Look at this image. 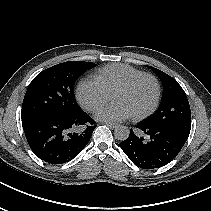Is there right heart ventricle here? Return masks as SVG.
Masks as SVG:
<instances>
[{
    "label": "right heart ventricle",
    "mask_w": 211,
    "mask_h": 211,
    "mask_svg": "<svg viewBox=\"0 0 211 211\" xmlns=\"http://www.w3.org/2000/svg\"><path fill=\"white\" fill-rule=\"evenodd\" d=\"M143 73V71L129 65L112 64L101 68L95 78L110 94L123 83Z\"/></svg>",
    "instance_id": "right-heart-ventricle-1"
}]
</instances>
